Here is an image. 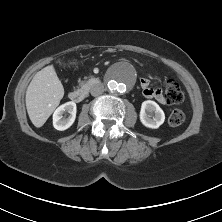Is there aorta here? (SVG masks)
<instances>
[{"label": "aorta", "instance_id": "762f6f07", "mask_svg": "<svg viewBox=\"0 0 222 222\" xmlns=\"http://www.w3.org/2000/svg\"><path fill=\"white\" fill-rule=\"evenodd\" d=\"M133 83L134 76L128 71L127 67L114 69L107 77L108 90L113 94L124 93Z\"/></svg>", "mask_w": 222, "mask_h": 222}]
</instances>
